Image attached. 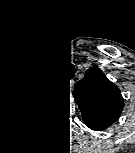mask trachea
<instances>
[{"mask_svg": "<svg viewBox=\"0 0 135 153\" xmlns=\"http://www.w3.org/2000/svg\"><path fill=\"white\" fill-rule=\"evenodd\" d=\"M64 74L66 75V77L68 78H72L74 75V67L73 66H66L65 70H64Z\"/></svg>", "mask_w": 135, "mask_h": 153, "instance_id": "3493384b", "label": "trachea"}]
</instances>
